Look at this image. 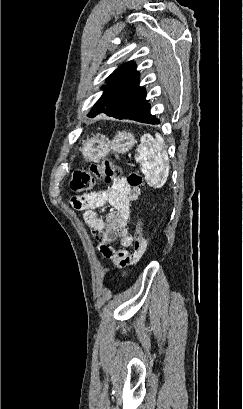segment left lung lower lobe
<instances>
[{"mask_svg": "<svg viewBox=\"0 0 243 409\" xmlns=\"http://www.w3.org/2000/svg\"><path fill=\"white\" fill-rule=\"evenodd\" d=\"M106 115L112 116L117 119H130L142 123L159 124V120L150 114V104L145 100L139 104H135L132 107H128L124 113L115 115L110 112H105Z\"/></svg>", "mask_w": 243, "mask_h": 409, "instance_id": "left-lung-lower-lobe-1", "label": "left lung lower lobe"}]
</instances>
